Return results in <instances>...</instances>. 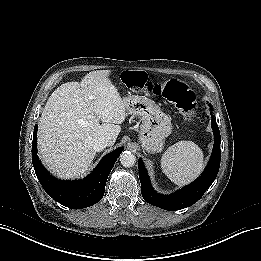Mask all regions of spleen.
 Masks as SVG:
<instances>
[{"label":"spleen","instance_id":"obj_1","mask_svg":"<svg viewBox=\"0 0 261 261\" xmlns=\"http://www.w3.org/2000/svg\"><path fill=\"white\" fill-rule=\"evenodd\" d=\"M202 149L192 141H180L169 147L161 158V168L175 184L184 185L196 179L204 165Z\"/></svg>","mask_w":261,"mask_h":261}]
</instances>
